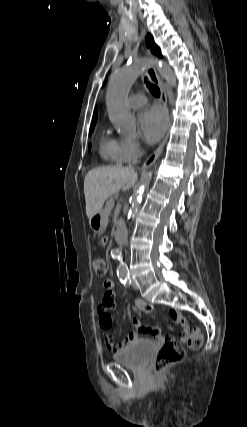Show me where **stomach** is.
Here are the masks:
<instances>
[{
    "mask_svg": "<svg viewBox=\"0 0 247 427\" xmlns=\"http://www.w3.org/2000/svg\"><path fill=\"white\" fill-rule=\"evenodd\" d=\"M107 223L108 217L107 214L103 212V210L92 216V218L89 220L90 227L96 233L103 232L106 229Z\"/></svg>",
    "mask_w": 247,
    "mask_h": 427,
    "instance_id": "stomach-1",
    "label": "stomach"
}]
</instances>
